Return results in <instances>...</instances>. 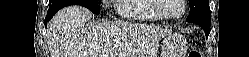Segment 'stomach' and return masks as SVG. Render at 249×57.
Listing matches in <instances>:
<instances>
[{
  "mask_svg": "<svg viewBox=\"0 0 249 57\" xmlns=\"http://www.w3.org/2000/svg\"><path fill=\"white\" fill-rule=\"evenodd\" d=\"M163 52L160 57H185L186 40L182 36H170L163 41Z\"/></svg>",
  "mask_w": 249,
  "mask_h": 57,
  "instance_id": "obj_1",
  "label": "stomach"
}]
</instances>
